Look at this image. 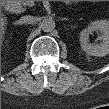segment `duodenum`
I'll list each match as a JSON object with an SVG mask.
<instances>
[{
    "label": "duodenum",
    "mask_w": 109,
    "mask_h": 109,
    "mask_svg": "<svg viewBox=\"0 0 109 109\" xmlns=\"http://www.w3.org/2000/svg\"><path fill=\"white\" fill-rule=\"evenodd\" d=\"M5 8H6V9H11L10 3H6V4H5Z\"/></svg>",
    "instance_id": "410a0bca"
}]
</instances>
